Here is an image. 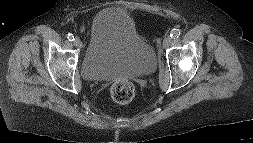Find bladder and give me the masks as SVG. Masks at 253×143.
<instances>
[{
    "label": "bladder",
    "instance_id": "1",
    "mask_svg": "<svg viewBox=\"0 0 253 143\" xmlns=\"http://www.w3.org/2000/svg\"><path fill=\"white\" fill-rule=\"evenodd\" d=\"M156 63L153 48L139 35L125 10L112 6L95 15L81 63L87 80L142 77L151 74Z\"/></svg>",
    "mask_w": 253,
    "mask_h": 143
}]
</instances>
